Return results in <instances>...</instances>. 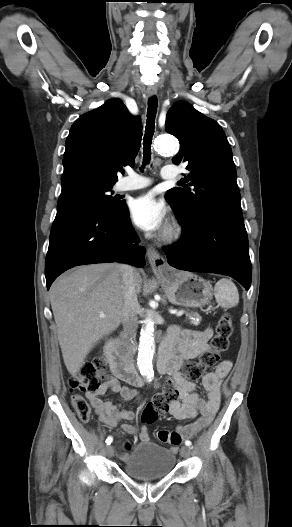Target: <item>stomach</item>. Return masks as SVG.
<instances>
[{
    "mask_svg": "<svg viewBox=\"0 0 292 527\" xmlns=\"http://www.w3.org/2000/svg\"><path fill=\"white\" fill-rule=\"evenodd\" d=\"M168 300L185 307H201L212 297L211 285L187 271L168 269L157 273Z\"/></svg>",
    "mask_w": 292,
    "mask_h": 527,
    "instance_id": "1",
    "label": "stomach"
}]
</instances>
